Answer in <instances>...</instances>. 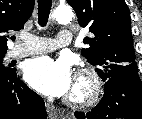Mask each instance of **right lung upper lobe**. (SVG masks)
<instances>
[{
  "instance_id": "obj_1",
  "label": "right lung upper lobe",
  "mask_w": 142,
  "mask_h": 119,
  "mask_svg": "<svg viewBox=\"0 0 142 119\" xmlns=\"http://www.w3.org/2000/svg\"><path fill=\"white\" fill-rule=\"evenodd\" d=\"M34 8V0H0V53L7 51L9 31L23 29Z\"/></svg>"
}]
</instances>
